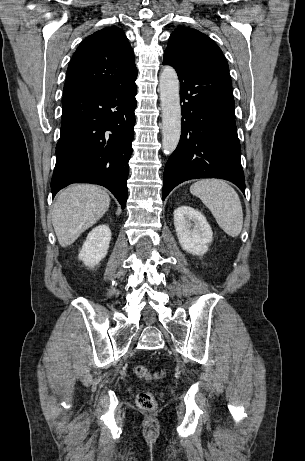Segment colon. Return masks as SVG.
<instances>
[{"instance_id":"1","label":"colon","mask_w":305,"mask_h":461,"mask_svg":"<svg viewBox=\"0 0 305 461\" xmlns=\"http://www.w3.org/2000/svg\"><path fill=\"white\" fill-rule=\"evenodd\" d=\"M135 374L142 379L157 378L158 374H152L151 371L145 366H136ZM136 405L144 411H153L157 406L155 396L150 391H141L136 396Z\"/></svg>"}]
</instances>
